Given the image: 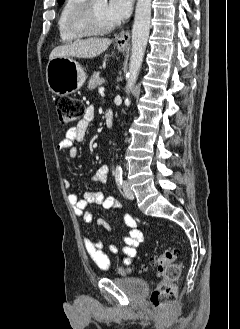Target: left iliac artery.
I'll use <instances>...</instances> for the list:
<instances>
[{"label": "left iliac artery", "instance_id": "left-iliac-artery-1", "mask_svg": "<svg viewBox=\"0 0 240 329\" xmlns=\"http://www.w3.org/2000/svg\"><path fill=\"white\" fill-rule=\"evenodd\" d=\"M114 174H115V180H116L118 186H121L123 183V171H122L121 166L116 167Z\"/></svg>", "mask_w": 240, "mask_h": 329}]
</instances>
